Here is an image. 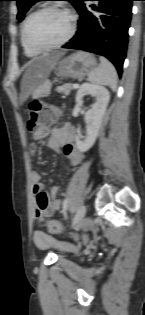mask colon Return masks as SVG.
Returning <instances> with one entry per match:
<instances>
[{"label":"colon","mask_w":145,"mask_h":315,"mask_svg":"<svg viewBox=\"0 0 145 315\" xmlns=\"http://www.w3.org/2000/svg\"><path fill=\"white\" fill-rule=\"evenodd\" d=\"M58 112L56 109L46 106L39 101H34L29 105L27 129L34 133L47 128L56 120ZM47 228L52 234H60L64 231L63 225L57 220L47 223Z\"/></svg>","instance_id":"obj_1"}]
</instances>
